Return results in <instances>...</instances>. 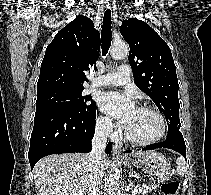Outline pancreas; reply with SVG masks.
<instances>
[{
    "label": "pancreas",
    "mask_w": 211,
    "mask_h": 195,
    "mask_svg": "<svg viewBox=\"0 0 211 195\" xmlns=\"http://www.w3.org/2000/svg\"><path fill=\"white\" fill-rule=\"evenodd\" d=\"M157 187H158L157 184H151V185L143 184V185L139 186V193L141 195H145L146 193H148L151 190L156 189Z\"/></svg>",
    "instance_id": "1"
}]
</instances>
